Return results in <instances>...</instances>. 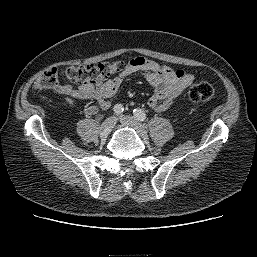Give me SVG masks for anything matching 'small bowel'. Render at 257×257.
I'll return each instance as SVG.
<instances>
[{"label":"small bowel","mask_w":257,"mask_h":257,"mask_svg":"<svg viewBox=\"0 0 257 257\" xmlns=\"http://www.w3.org/2000/svg\"><path fill=\"white\" fill-rule=\"evenodd\" d=\"M134 73H140L154 88V93L147 104L158 112L167 110L194 80L192 73L173 70L156 61L137 57L129 61L123 73L106 81L95 85H80L78 88H73L70 84H59L55 87V91L71 106H74L77 100H94L96 105H90L84 109L87 115H93L98 109H108L111 106V99L118 91L123 79Z\"/></svg>","instance_id":"obj_1"}]
</instances>
